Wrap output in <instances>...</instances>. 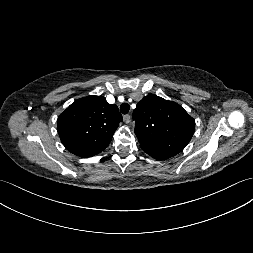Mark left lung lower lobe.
I'll use <instances>...</instances> for the list:
<instances>
[{
    "mask_svg": "<svg viewBox=\"0 0 253 253\" xmlns=\"http://www.w3.org/2000/svg\"><path fill=\"white\" fill-rule=\"evenodd\" d=\"M147 153V152H146ZM148 155L152 156L153 158L155 159H167V158H170L168 156H165V155H162V154H159V153H147Z\"/></svg>",
    "mask_w": 253,
    "mask_h": 253,
    "instance_id": "left-lung-lower-lobe-1",
    "label": "left lung lower lobe"
}]
</instances>
